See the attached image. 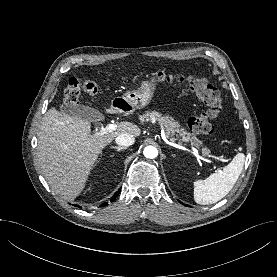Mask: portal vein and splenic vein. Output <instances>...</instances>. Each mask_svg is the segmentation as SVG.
<instances>
[{"label":"portal vein and splenic vein","instance_id":"portal-vein-and-splenic-vein-1","mask_svg":"<svg viewBox=\"0 0 277 277\" xmlns=\"http://www.w3.org/2000/svg\"><path fill=\"white\" fill-rule=\"evenodd\" d=\"M117 129V125L116 124H108L104 129L100 130L99 132H96L95 134L98 135V134H104V133H108V132H112L114 130ZM192 150L194 151V153H198V150L191 146ZM202 154L204 156H207V157H213V155L210 154V151H204L202 150Z\"/></svg>","mask_w":277,"mask_h":277}]
</instances>
